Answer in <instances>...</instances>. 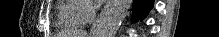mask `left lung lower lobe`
Listing matches in <instances>:
<instances>
[{
    "mask_svg": "<svg viewBox=\"0 0 219 37\" xmlns=\"http://www.w3.org/2000/svg\"><path fill=\"white\" fill-rule=\"evenodd\" d=\"M153 0H134V20L143 18L153 7Z\"/></svg>",
    "mask_w": 219,
    "mask_h": 37,
    "instance_id": "obj_1",
    "label": "left lung lower lobe"
}]
</instances>
